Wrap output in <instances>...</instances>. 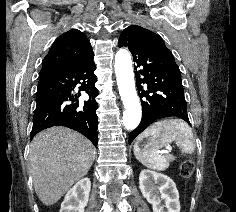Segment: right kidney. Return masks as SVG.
Listing matches in <instances>:
<instances>
[{"label": "right kidney", "instance_id": "1", "mask_svg": "<svg viewBox=\"0 0 236 212\" xmlns=\"http://www.w3.org/2000/svg\"><path fill=\"white\" fill-rule=\"evenodd\" d=\"M90 189L89 178L78 181L66 194L59 212H84L89 200Z\"/></svg>", "mask_w": 236, "mask_h": 212}]
</instances>
